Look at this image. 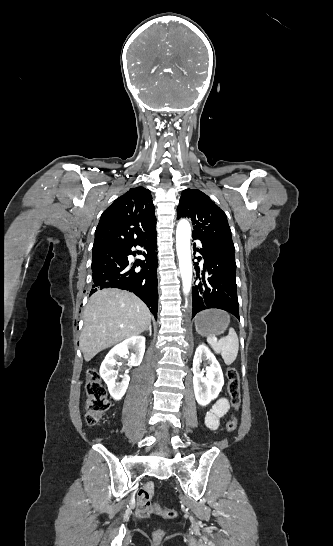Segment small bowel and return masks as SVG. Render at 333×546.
I'll return each mask as SVG.
<instances>
[{"mask_svg":"<svg viewBox=\"0 0 333 546\" xmlns=\"http://www.w3.org/2000/svg\"><path fill=\"white\" fill-rule=\"evenodd\" d=\"M229 404L226 399H219L205 415V425L209 430L215 431L219 428L220 421L229 411ZM153 497V484L150 482L142 488L137 495L136 515L146 518L152 513L151 500Z\"/></svg>","mask_w":333,"mask_h":546,"instance_id":"obj_1","label":"small bowel"}]
</instances>
